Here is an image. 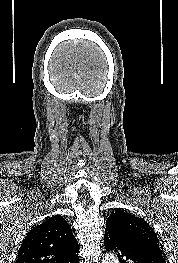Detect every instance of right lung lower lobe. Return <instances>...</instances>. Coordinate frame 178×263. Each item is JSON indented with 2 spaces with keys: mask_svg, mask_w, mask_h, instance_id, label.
I'll return each instance as SVG.
<instances>
[{
  "mask_svg": "<svg viewBox=\"0 0 178 263\" xmlns=\"http://www.w3.org/2000/svg\"><path fill=\"white\" fill-rule=\"evenodd\" d=\"M78 261H79V257L76 256L71 261H69L68 263H78Z\"/></svg>",
  "mask_w": 178,
  "mask_h": 263,
  "instance_id": "right-lung-lower-lobe-1",
  "label": "right lung lower lobe"
}]
</instances>
